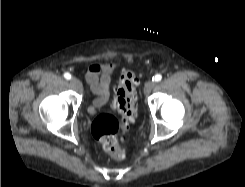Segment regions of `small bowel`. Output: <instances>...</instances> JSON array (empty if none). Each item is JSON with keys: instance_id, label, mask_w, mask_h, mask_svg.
<instances>
[{"instance_id": "1", "label": "small bowel", "mask_w": 245, "mask_h": 187, "mask_svg": "<svg viewBox=\"0 0 245 187\" xmlns=\"http://www.w3.org/2000/svg\"><path fill=\"white\" fill-rule=\"evenodd\" d=\"M113 67L110 64H92L87 71V82L95 98L89 107L91 114L104 106L110 97Z\"/></svg>"}]
</instances>
